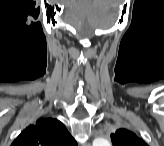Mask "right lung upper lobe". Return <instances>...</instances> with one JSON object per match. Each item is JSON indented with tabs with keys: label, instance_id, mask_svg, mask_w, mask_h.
<instances>
[{
	"label": "right lung upper lobe",
	"instance_id": "1",
	"mask_svg": "<svg viewBox=\"0 0 164 146\" xmlns=\"http://www.w3.org/2000/svg\"><path fill=\"white\" fill-rule=\"evenodd\" d=\"M76 141L63 123L53 118L39 119L28 126L12 146H75Z\"/></svg>",
	"mask_w": 164,
	"mask_h": 146
}]
</instances>
